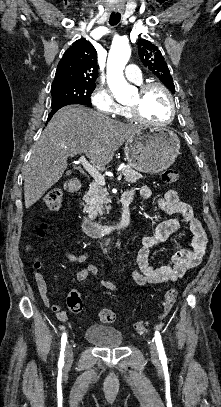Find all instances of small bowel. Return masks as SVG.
Returning <instances> with one entry per match:
<instances>
[{"mask_svg": "<svg viewBox=\"0 0 221 407\" xmlns=\"http://www.w3.org/2000/svg\"><path fill=\"white\" fill-rule=\"evenodd\" d=\"M133 200L135 194H138L142 199H149L152 195L151 189L148 186H142L138 189H128L123 192ZM122 194V195H123ZM158 208L165 214L173 217L160 223L152 234L143 238L142 246L139 248L136 261L137 268L131 269L128 276L137 284L138 287L144 288L148 285L167 284L175 282L182 278L186 272L197 266L206 254L207 236L195 217L193 208L190 204L181 201L178 194L174 190H167L162 197L157 200ZM184 224L192 234L191 248L180 249L171 258V264L151 266L149 264V255L151 251L171 240L176 231ZM32 244L26 248L31 250ZM64 256L70 260L83 261L84 255L76 256L70 251H64ZM34 278L41 300L45 306L49 307L61 321L66 320V314L61 310V305L51 303L47 282L40 271V263H34ZM97 268L89 265L85 269L76 272L73 276L77 281H84L89 276L96 277L98 283L103 287L113 292H118V287L107 280L97 278ZM73 297V292H69L66 296V301L69 302Z\"/></svg>", "mask_w": 221, "mask_h": 407, "instance_id": "obj_1", "label": "small bowel"}]
</instances>
